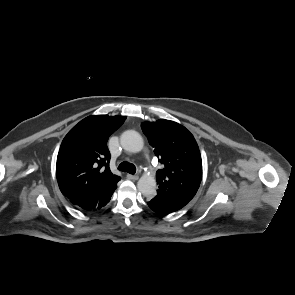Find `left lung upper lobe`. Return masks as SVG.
<instances>
[{
    "label": "left lung upper lobe",
    "mask_w": 295,
    "mask_h": 295,
    "mask_svg": "<svg viewBox=\"0 0 295 295\" xmlns=\"http://www.w3.org/2000/svg\"><path fill=\"white\" fill-rule=\"evenodd\" d=\"M141 127L164 166L156 173L158 190L191 200L202 179L201 154L193 135L165 119L146 121Z\"/></svg>",
    "instance_id": "1"
}]
</instances>
